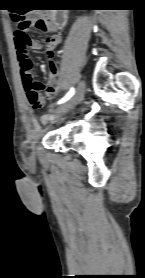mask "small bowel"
Returning a JSON list of instances; mask_svg holds the SVG:
<instances>
[{
	"instance_id": "1",
	"label": "small bowel",
	"mask_w": 145,
	"mask_h": 278,
	"mask_svg": "<svg viewBox=\"0 0 145 278\" xmlns=\"http://www.w3.org/2000/svg\"><path fill=\"white\" fill-rule=\"evenodd\" d=\"M31 19H34V14L30 15ZM48 31L52 32L45 40V44L47 46V51L49 55V63H48V69H49V74H48V82L49 86L45 89V92L42 95L43 103H45L48 99H50L56 92L57 89L55 87V81L57 77V64L53 60V50L61 43L62 37L59 33L55 32V28L53 26L48 25L47 28ZM27 35V34H26ZM29 38V37H28ZM30 42V48L34 50H40L43 47V44L35 41L33 39L29 38ZM15 43L17 44V39L15 38ZM19 76H20V81L23 85L24 92L27 96V89L25 86L27 78L32 76V64L30 59L27 57V55L23 58H19ZM41 131V126L36 123L32 129L33 134H37Z\"/></svg>"
}]
</instances>
